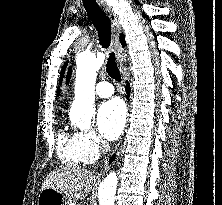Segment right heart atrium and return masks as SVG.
Returning a JSON list of instances; mask_svg holds the SVG:
<instances>
[{
  "instance_id": "1",
  "label": "right heart atrium",
  "mask_w": 222,
  "mask_h": 205,
  "mask_svg": "<svg viewBox=\"0 0 222 205\" xmlns=\"http://www.w3.org/2000/svg\"><path fill=\"white\" fill-rule=\"evenodd\" d=\"M80 148L89 162L96 160L102 148V142L94 131L77 133Z\"/></svg>"
}]
</instances>
